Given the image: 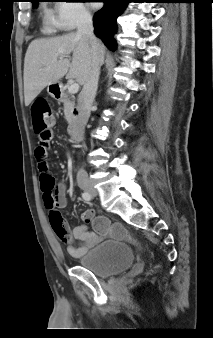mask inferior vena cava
<instances>
[{
	"mask_svg": "<svg viewBox=\"0 0 213 338\" xmlns=\"http://www.w3.org/2000/svg\"><path fill=\"white\" fill-rule=\"evenodd\" d=\"M77 36L86 38L92 49V67L89 78L83 86L78 99V121L80 130L83 131L88 122L90 115V108L96 96L98 88V80L100 75V67L104 61V50L93 33V23L91 15L83 12L80 17L78 25ZM78 181H88L86 171L81 168L77 172Z\"/></svg>",
	"mask_w": 213,
	"mask_h": 338,
	"instance_id": "1",
	"label": "inferior vena cava"
}]
</instances>
